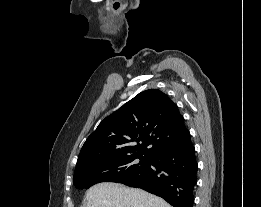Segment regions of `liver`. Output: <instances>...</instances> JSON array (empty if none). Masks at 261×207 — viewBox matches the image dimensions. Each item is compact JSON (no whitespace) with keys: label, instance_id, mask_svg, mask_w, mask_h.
<instances>
[{"label":"liver","instance_id":"liver-1","mask_svg":"<svg viewBox=\"0 0 261 207\" xmlns=\"http://www.w3.org/2000/svg\"><path fill=\"white\" fill-rule=\"evenodd\" d=\"M86 207H172L165 200L137 188L103 182L87 190Z\"/></svg>","mask_w":261,"mask_h":207}]
</instances>
